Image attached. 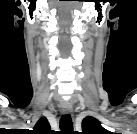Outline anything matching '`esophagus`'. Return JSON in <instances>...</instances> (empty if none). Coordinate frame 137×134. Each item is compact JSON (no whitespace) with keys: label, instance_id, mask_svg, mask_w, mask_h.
I'll use <instances>...</instances> for the list:
<instances>
[{"label":"esophagus","instance_id":"esophagus-1","mask_svg":"<svg viewBox=\"0 0 137 134\" xmlns=\"http://www.w3.org/2000/svg\"><path fill=\"white\" fill-rule=\"evenodd\" d=\"M60 107H61V112H62L64 115H68V114H70L71 111H72V106H71V104L68 103V102L62 101Z\"/></svg>","mask_w":137,"mask_h":134}]
</instances>
